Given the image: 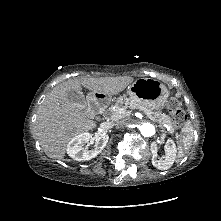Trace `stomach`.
<instances>
[{
	"label": "stomach",
	"mask_w": 221,
	"mask_h": 221,
	"mask_svg": "<svg viewBox=\"0 0 221 221\" xmlns=\"http://www.w3.org/2000/svg\"><path fill=\"white\" fill-rule=\"evenodd\" d=\"M130 100L152 110L165 107L169 92L164 84L152 78H139L128 86Z\"/></svg>",
	"instance_id": "stomach-1"
}]
</instances>
